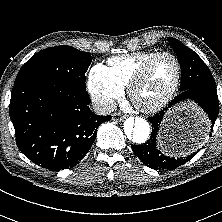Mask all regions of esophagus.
<instances>
[{"instance_id":"1","label":"esophagus","mask_w":222,"mask_h":222,"mask_svg":"<svg viewBox=\"0 0 222 222\" xmlns=\"http://www.w3.org/2000/svg\"><path fill=\"white\" fill-rule=\"evenodd\" d=\"M125 117L123 115H121L120 113H114L112 115V119L114 121H122Z\"/></svg>"}]
</instances>
